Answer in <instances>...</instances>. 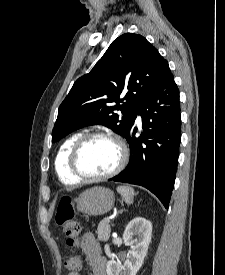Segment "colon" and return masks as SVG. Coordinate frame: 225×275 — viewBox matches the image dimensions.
I'll return each mask as SVG.
<instances>
[{
  "label": "colon",
  "instance_id": "obj_1",
  "mask_svg": "<svg viewBox=\"0 0 225 275\" xmlns=\"http://www.w3.org/2000/svg\"><path fill=\"white\" fill-rule=\"evenodd\" d=\"M75 210L72 199L70 197H63L56 210L55 221L56 224L62 228L66 236L67 245L76 247L79 241L80 226L74 220ZM65 267L71 272H78L82 267V260L79 255H71L65 260Z\"/></svg>",
  "mask_w": 225,
  "mask_h": 275
}]
</instances>
